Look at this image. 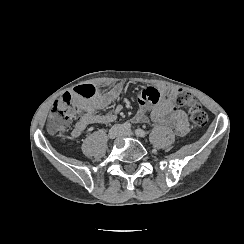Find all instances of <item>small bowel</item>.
<instances>
[{
    "label": "small bowel",
    "mask_w": 244,
    "mask_h": 244,
    "mask_svg": "<svg viewBox=\"0 0 244 244\" xmlns=\"http://www.w3.org/2000/svg\"><path fill=\"white\" fill-rule=\"evenodd\" d=\"M82 86L75 90L81 89ZM92 86L95 88L93 95L76 96V103L81 113L72 129L74 137L80 136L91 124L114 122L120 113V107L107 113L100 112L120 98L125 90L123 83L113 87H109L107 83ZM176 92V89L169 86L144 88L138 93L139 110L132 121L137 123L152 121L161 127L171 129L177 137H185L190 131V126L187 114L173 103Z\"/></svg>",
    "instance_id": "small-bowel-1"
}]
</instances>
